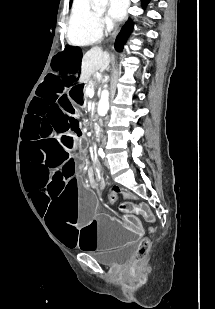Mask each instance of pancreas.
I'll use <instances>...</instances> for the list:
<instances>
[{
  "label": "pancreas",
  "mask_w": 215,
  "mask_h": 309,
  "mask_svg": "<svg viewBox=\"0 0 215 309\" xmlns=\"http://www.w3.org/2000/svg\"><path fill=\"white\" fill-rule=\"evenodd\" d=\"M86 84L87 86L84 88V98H88V90H86V88H94L96 80H92V78H90V80H87Z\"/></svg>",
  "instance_id": "pancreas-1"
}]
</instances>
